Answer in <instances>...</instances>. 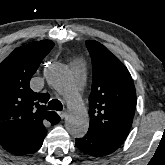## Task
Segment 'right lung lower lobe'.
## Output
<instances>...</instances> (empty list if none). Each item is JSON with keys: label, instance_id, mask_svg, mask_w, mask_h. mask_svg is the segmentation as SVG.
I'll list each match as a JSON object with an SVG mask.
<instances>
[{"label": "right lung lower lobe", "instance_id": "98d812e1", "mask_svg": "<svg viewBox=\"0 0 165 165\" xmlns=\"http://www.w3.org/2000/svg\"><path fill=\"white\" fill-rule=\"evenodd\" d=\"M59 121H60V119H59ZM45 136H46V133L42 137H40L38 140H35L34 142L29 143L23 149H21L19 152L14 153V154L25 155V154H30V153L35 152L42 146Z\"/></svg>", "mask_w": 165, "mask_h": 165}]
</instances>
